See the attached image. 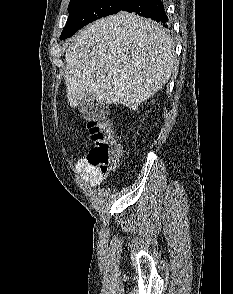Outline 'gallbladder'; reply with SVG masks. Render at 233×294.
<instances>
[{"instance_id":"obj_1","label":"gallbladder","mask_w":233,"mask_h":294,"mask_svg":"<svg viewBox=\"0 0 233 294\" xmlns=\"http://www.w3.org/2000/svg\"><path fill=\"white\" fill-rule=\"evenodd\" d=\"M101 103H98L92 94H88L79 104V111L86 120H98L101 112Z\"/></svg>"}]
</instances>
